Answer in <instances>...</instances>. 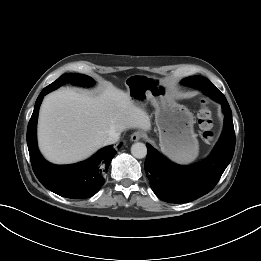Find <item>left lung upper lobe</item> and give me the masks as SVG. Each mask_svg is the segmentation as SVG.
<instances>
[{
    "mask_svg": "<svg viewBox=\"0 0 261 261\" xmlns=\"http://www.w3.org/2000/svg\"><path fill=\"white\" fill-rule=\"evenodd\" d=\"M204 77L202 76H192V77H188L182 80V83L185 85H195L197 82L196 80L202 79Z\"/></svg>",
    "mask_w": 261,
    "mask_h": 261,
    "instance_id": "obj_1",
    "label": "left lung upper lobe"
}]
</instances>
